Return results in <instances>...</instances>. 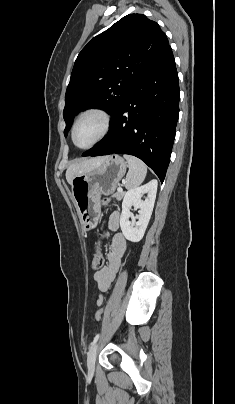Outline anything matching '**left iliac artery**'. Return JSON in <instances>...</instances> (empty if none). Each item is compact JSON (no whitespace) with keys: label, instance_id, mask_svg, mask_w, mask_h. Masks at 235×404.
Listing matches in <instances>:
<instances>
[{"label":"left iliac artery","instance_id":"44dca946","mask_svg":"<svg viewBox=\"0 0 235 404\" xmlns=\"http://www.w3.org/2000/svg\"><path fill=\"white\" fill-rule=\"evenodd\" d=\"M99 337H100V334L98 333V334L94 337V340L92 341L91 346H94V345L96 344V342L98 341Z\"/></svg>","mask_w":235,"mask_h":404}]
</instances>
